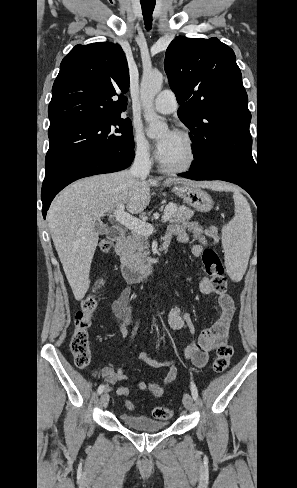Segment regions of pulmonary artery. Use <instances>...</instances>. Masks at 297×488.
<instances>
[{"label":"pulmonary artery","mask_w":297,"mask_h":488,"mask_svg":"<svg viewBox=\"0 0 297 488\" xmlns=\"http://www.w3.org/2000/svg\"><path fill=\"white\" fill-rule=\"evenodd\" d=\"M154 110L162 114H170L177 110V100L172 90L162 91L155 99Z\"/></svg>","instance_id":"e3ab8cb5"}]
</instances>
